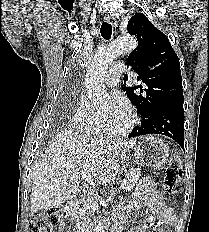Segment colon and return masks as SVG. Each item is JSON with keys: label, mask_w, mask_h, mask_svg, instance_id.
I'll return each instance as SVG.
<instances>
[{"label": "colon", "mask_w": 209, "mask_h": 232, "mask_svg": "<svg viewBox=\"0 0 209 232\" xmlns=\"http://www.w3.org/2000/svg\"><path fill=\"white\" fill-rule=\"evenodd\" d=\"M181 182V161L178 158H173L166 166L163 187L168 194H176ZM60 214L61 212L58 207H49L35 212L30 221V232H52L53 228L59 222Z\"/></svg>", "instance_id": "colon-1"}]
</instances>
